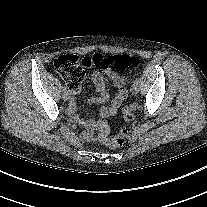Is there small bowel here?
Wrapping results in <instances>:
<instances>
[{
	"instance_id": "obj_1",
	"label": "small bowel",
	"mask_w": 207,
	"mask_h": 207,
	"mask_svg": "<svg viewBox=\"0 0 207 207\" xmlns=\"http://www.w3.org/2000/svg\"><path fill=\"white\" fill-rule=\"evenodd\" d=\"M91 79L96 87V90L99 93V97H92L88 100V104H104L100 109V115L103 118H108L116 115L122 101L126 98L127 92L125 89L124 78L117 73L109 70L106 73L102 74L99 71H94L91 75ZM111 80L116 89L115 93L110 96L107 87V81ZM76 91H70V94L73 96L69 104V113L73 122L78 123L81 127L87 130L97 129V122L92 119H80L76 114L77 107L74 100ZM107 103V104H106Z\"/></svg>"
}]
</instances>
